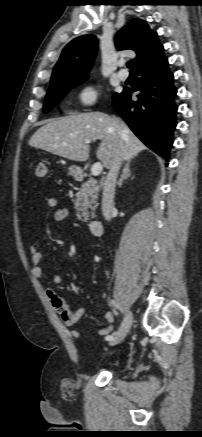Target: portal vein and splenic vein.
Listing matches in <instances>:
<instances>
[{
  "mask_svg": "<svg viewBox=\"0 0 202 437\" xmlns=\"http://www.w3.org/2000/svg\"><path fill=\"white\" fill-rule=\"evenodd\" d=\"M86 143L88 144V143H90V141L87 140ZM102 170H103V166H102V164H101L100 162H97V163H95V164L92 166V168H91V174H92L93 176H98V175L101 174Z\"/></svg>",
  "mask_w": 202,
  "mask_h": 437,
  "instance_id": "obj_1",
  "label": "portal vein and splenic vein"
}]
</instances>
